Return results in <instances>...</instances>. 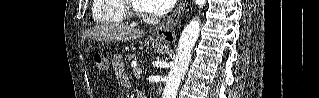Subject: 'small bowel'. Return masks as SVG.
Instances as JSON below:
<instances>
[{
	"instance_id": "small-bowel-1",
	"label": "small bowel",
	"mask_w": 319,
	"mask_h": 98,
	"mask_svg": "<svg viewBox=\"0 0 319 98\" xmlns=\"http://www.w3.org/2000/svg\"><path fill=\"white\" fill-rule=\"evenodd\" d=\"M116 74H117V78H118V81L124 85V86H129V82L125 76V73L123 71V69L121 68H116Z\"/></svg>"
}]
</instances>
